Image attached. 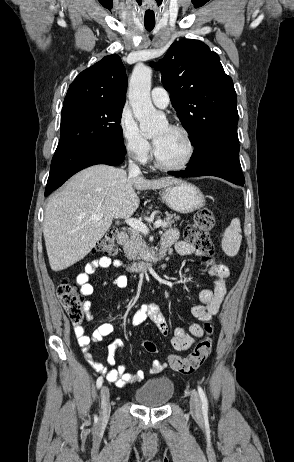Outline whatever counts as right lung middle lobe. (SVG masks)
<instances>
[{
	"label": "right lung middle lobe",
	"instance_id": "1",
	"mask_svg": "<svg viewBox=\"0 0 294 462\" xmlns=\"http://www.w3.org/2000/svg\"><path fill=\"white\" fill-rule=\"evenodd\" d=\"M125 101L79 100L64 104L56 150L74 144L123 143L120 126Z\"/></svg>",
	"mask_w": 294,
	"mask_h": 462
}]
</instances>
